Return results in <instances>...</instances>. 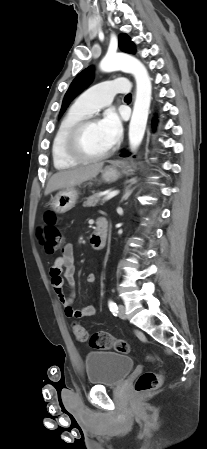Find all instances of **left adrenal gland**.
Listing matches in <instances>:
<instances>
[{"label":"left adrenal gland","mask_w":207,"mask_h":449,"mask_svg":"<svg viewBox=\"0 0 207 449\" xmlns=\"http://www.w3.org/2000/svg\"><path fill=\"white\" fill-rule=\"evenodd\" d=\"M136 183H137V180H134L131 184H129V185H127L125 187L124 195L122 197V201L127 200L129 198V196L132 194L133 190L135 189V187L131 189V186L136 184Z\"/></svg>","instance_id":"left-adrenal-gland-1"}]
</instances>
